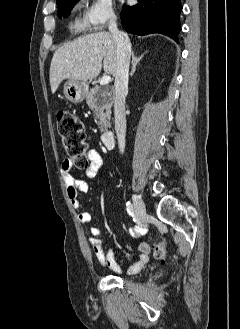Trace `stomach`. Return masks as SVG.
I'll return each mask as SVG.
<instances>
[{"label": "stomach", "mask_w": 240, "mask_h": 329, "mask_svg": "<svg viewBox=\"0 0 240 329\" xmlns=\"http://www.w3.org/2000/svg\"><path fill=\"white\" fill-rule=\"evenodd\" d=\"M88 85L83 81L68 80L64 84V95L72 103H80L86 97Z\"/></svg>", "instance_id": "stomach-1"}]
</instances>
